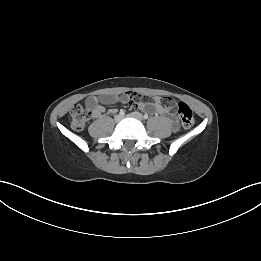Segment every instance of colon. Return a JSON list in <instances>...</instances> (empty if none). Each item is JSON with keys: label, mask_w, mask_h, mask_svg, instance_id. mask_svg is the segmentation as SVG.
I'll return each mask as SVG.
<instances>
[{"label": "colon", "mask_w": 261, "mask_h": 261, "mask_svg": "<svg viewBox=\"0 0 261 261\" xmlns=\"http://www.w3.org/2000/svg\"><path fill=\"white\" fill-rule=\"evenodd\" d=\"M161 100L169 110H175L178 113L181 125L184 129H190L194 125L195 119L193 111L186 103L179 102L175 104L170 97H163ZM91 117L92 113L90 110L81 105H76L70 111L71 127L74 130L80 131L90 121Z\"/></svg>", "instance_id": "obj_1"}]
</instances>
